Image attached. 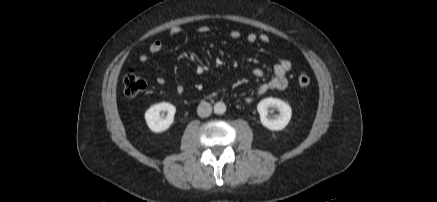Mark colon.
Returning <instances> with one entry per match:
<instances>
[{
    "label": "colon",
    "mask_w": 437,
    "mask_h": 202,
    "mask_svg": "<svg viewBox=\"0 0 437 202\" xmlns=\"http://www.w3.org/2000/svg\"><path fill=\"white\" fill-rule=\"evenodd\" d=\"M298 84L302 88L310 85L311 79L307 74H300L297 78ZM124 93L128 97H134L145 91L147 88L146 79L135 70H129L123 80Z\"/></svg>",
    "instance_id": "5ec220e1"
}]
</instances>
